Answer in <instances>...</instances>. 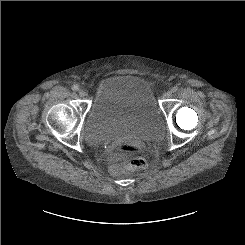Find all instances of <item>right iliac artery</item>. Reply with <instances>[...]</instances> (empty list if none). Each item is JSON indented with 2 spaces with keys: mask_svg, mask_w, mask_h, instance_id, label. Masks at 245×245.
Masks as SVG:
<instances>
[{
  "mask_svg": "<svg viewBox=\"0 0 245 245\" xmlns=\"http://www.w3.org/2000/svg\"><path fill=\"white\" fill-rule=\"evenodd\" d=\"M72 89H73L74 91H77V90L79 89V86H78V85H73Z\"/></svg>",
  "mask_w": 245,
  "mask_h": 245,
  "instance_id": "82829eb1",
  "label": "right iliac artery"
}]
</instances>
